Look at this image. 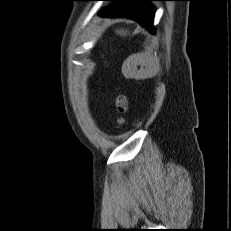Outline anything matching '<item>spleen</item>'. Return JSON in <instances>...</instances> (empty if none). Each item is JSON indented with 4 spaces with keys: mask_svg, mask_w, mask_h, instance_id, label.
Here are the masks:
<instances>
[{
    "mask_svg": "<svg viewBox=\"0 0 231 231\" xmlns=\"http://www.w3.org/2000/svg\"><path fill=\"white\" fill-rule=\"evenodd\" d=\"M117 33H119L120 35L124 34L123 31H117Z\"/></svg>",
    "mask_w": 231,
    "mask_h": 231,
    "instance_id": "obj_1",
    "label": "spleen"
}]
</instances>
